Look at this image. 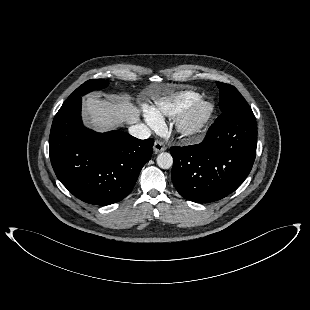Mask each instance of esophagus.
I'll use <instances>...</instances> for the list:
<instances>
[{
	"instance_id": "1",
	"label": "esophagus",
	"mask_w": 310,
	"mask_h": 310,
	"mask_svg": "<svg viewBox=\"0 0 310 310\" xmlns=\"http://www.w3.org/2000/svg\"><path fill=\"white\" fill-rule=\"evenodd\" d=\"M154 152L159 153L166 149L164 143L160 140H156L153 146Z\"/></svg>"
}]
</instances>
